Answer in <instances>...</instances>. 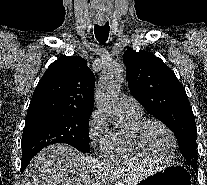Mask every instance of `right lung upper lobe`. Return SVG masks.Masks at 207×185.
<instances>
[{
	"label": "right lung upper lobe",
	"mask_w": 207,
	"mask_h": 185,
	"mask_svg": "<svg viewBox=\"0 0 207 185\" xmlns=\"http://www.w3.org/2000/svg\"><path fill=\"white\" fill-rule=\"evenodd\" d=\"M95 77L80 56L51 63L33 93L28 114L51 113L90 117Z\"/></svg>",
	"instance_id": "1"
}]
</instances>
